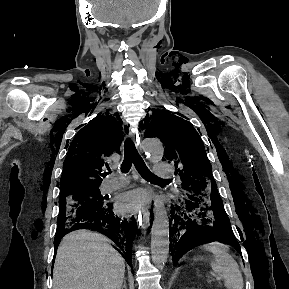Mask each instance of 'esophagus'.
<instances>
[{"instance_id": "obj_1", "label": "esophagus", "mask_w": 289, "mask_h": 289, "mask_svg": "<svg viewBox=\"0 0 289 289\" xmlns=\"http://www.w3.org/2000/svg\"><path fill=\"white\" fill-rule=\"evenodd\" d=\"M133 140L135 141L136 147L138 148L139 151H141L140 148V138L139 135L136 134L132 135ZM150 198L149 201L146 205H144L141 208V211L139 213V215L137 216V220L139 221V224L146 230L148 229L149 225H150Z\"/></svg>"}]
</instances>
